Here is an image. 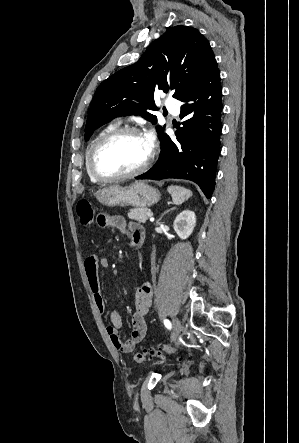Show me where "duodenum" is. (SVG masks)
Segmentation results:
<instances>
[{"mask_svg": "<svg viewBox=\"0 0 299 443\" xmlns=\"http://www.w3.org/2000/svg\"><path fill=\"white\" fill-rule=\"evenodd\" d=\"M140 244H141L140 242L135 241V242L132 243L131 247H132L133 249H136V248H138V247L140 246Z\"/></svg>", "mask_w": 299, "mask_h": 443, "instance_id": "410a0bca", "label": "duodenum"}]
</instances>
